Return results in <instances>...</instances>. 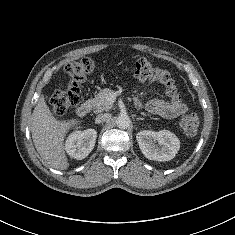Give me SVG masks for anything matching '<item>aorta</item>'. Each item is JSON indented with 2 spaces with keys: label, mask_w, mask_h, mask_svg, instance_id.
Listing matches in <instances>:
<instances>
[{
  "label": "aorta",
  "mask_w": 235,
  "mask_h": 235,
  "mask_svg": "<svg viewBox=\"0 0 235 235\" xmlns=\"http://www.w3.org/2000/svg\"><path fill=\"white\" fill-rule=\"evenodd\" d=\"M131 120L128 115L121 114L116 119V124L121 129H127L130 126Z\"/></svg>",
  "instance_id": "1"
}]
</instances>
